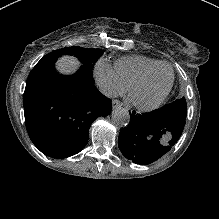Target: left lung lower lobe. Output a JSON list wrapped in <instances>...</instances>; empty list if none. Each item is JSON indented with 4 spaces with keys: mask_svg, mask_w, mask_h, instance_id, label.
Here are the masks:
<instances>
[{
    "mask_svg": "<svg viewBox=\"0 0 219 219\" xmlns=\"http://www.w3.org/2000/svg\"><path fill=\"white\" fill-rule=\"evenodd\" d=\"M129 125L119 133L123 155L137 164H149L167 153L183 131L185 119L159 109L136 115L130 113Z\"/></svg>",
    "mask_w": 219,
    "mask_h": 219,
    "instance_id": "0a47b994",
    "label": "left lung lower lobe"
}]
</instances>
